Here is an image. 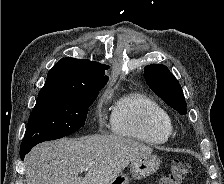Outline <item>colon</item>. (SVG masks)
<instances>
[{"instance_id": "obj_1", "label": "colon", "mask_w": 224, "mask_h": 184, "mask_svg": "<svg viewBox=\"0 0 224 184\" xmlns=\"http://www.w3.org/2000/svg\"><path fill=\"white\" fill-rule=\"evenodd\" d=\"M190 173V165L182 161H173L169 171L164 175L159 184H181Z\"/></svg>"}]
</instances>
